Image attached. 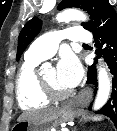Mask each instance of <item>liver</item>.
<instances>
[{
  "mask_svg": "<svg viewBox=\"0 0 117 131\" xmlns=\"http://www.w3.org/2000/svg\"><path fill=\"white\" fill-rule=\"evenodd\" d=\"M57 110L58 108H46V109H41V110L27 111V112H24L18 118V121L42 119V118L50 116L51 114L55 113Z\"/></svg>",
  "mask_w": 117,
  "mask_h": 131,
  "instance_id": "1",
  "label": "liver"
}]
</instances>
